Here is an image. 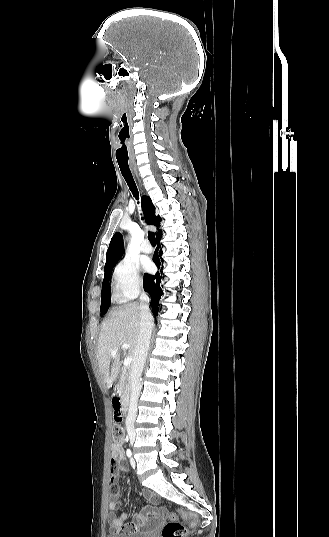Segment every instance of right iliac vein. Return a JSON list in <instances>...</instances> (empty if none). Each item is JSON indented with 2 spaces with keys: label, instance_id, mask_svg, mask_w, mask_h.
<instances>
[{
  "label": "right iliac vein",
  "instance_id": "1",
  "mask_svg": "<svg viewBox=\"0 0 329 537\" xmlns=\"http://www.w3.org/2000/svg\"><path fill=\"white\" fill-rule=\"evenodd\" d=\"M130 440H131V442H133V441H134V437H131Z\"/></svg>",
  "mask_w": 329,
  "mask_h": 537
}]
</instances>
